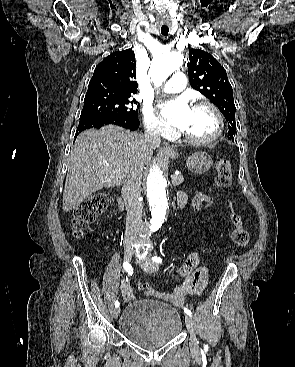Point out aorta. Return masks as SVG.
<instances>
[{
    "mask_svg": "<svg viewBox=\"0 0 295 367\" xmlns=\"http://www.w3.org/2000/svg\"><path fill=\"white\" fill-rule=\"evenodd\" d=\"M183 64L180 52H164L157 56L150 68V75L156 85H161L168 76ZM147 198L151 211V230L157 231L166 218L168 209L167 181L161 165L154 164L147 176Z\"/></svg>",
    "mask_w": 295,
    "mask_h": 367,
    "instance_id": "aorta-1",
    "label": "aorta"
}]
</instances>
